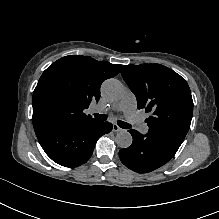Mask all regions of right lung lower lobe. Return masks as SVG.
Segmentation results:
<instances>
[{"instance_id": "1", "label": "right lung lower lobe", "mask_w": 219, "mask_h": 219, "mask_svg": "<svg viewBox=\"0 0 219 219\" xmlns=\"http://www.w3.org/2000/svg\"><path fill=\"white\" fill-rule=\"evenodd\" d=\"M109 122H65L34 125V130L46 154L65 167H77L89 160L97 140L109 133Z\"/></svg>"}]
</instances>
